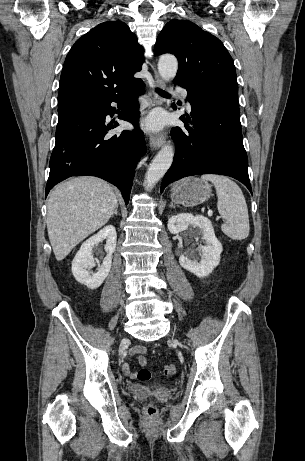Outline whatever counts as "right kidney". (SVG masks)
<instances>
[{"label": "right kidney", "mask_w": 305, "mask_h": 461, "mask_svg": "<svg viewBox=\"0 0 305 461\" xmlns=\"http://www.w3.org/2000/svg\"><path fill=\"white\" fill-rule=\"evenodd\" d=\"M104 239H106L104 249L107 255L102 264L98 265L97 272H92L90 269L96 265L92 255V249ZM116 240L117 234L115 227L108 225L81 245L80 250L72 261V273L79 283L84 284L89 289H96L104 282L111 269L112 254L116 248Z\"/></svg>", "instance_id": "1"}]
</instances>
